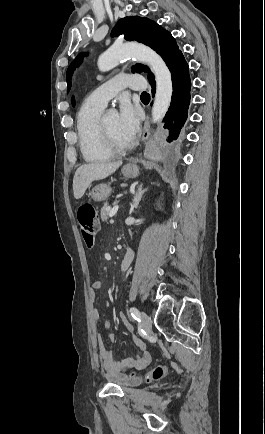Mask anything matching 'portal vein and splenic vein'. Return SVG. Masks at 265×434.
I'll list each match as a JSON object with an SVG mask.
<instances>
[{"mask_svg":"<svg viewBox=\"0 0 265 434\" xmlns=\"http://www.w3.org/2000/svg\"><path fill=\"white\" fill-rule=\"evenodd\" d=\"M118 208H119V206H114V208H112V210H110V214H109L110 218H112V216H115V214H117Z\"/></svg>","mask_w":265,"mask_h":434,"instance_id":"obj_1","label":"portal vein and splenic vein"}]
</instances>
